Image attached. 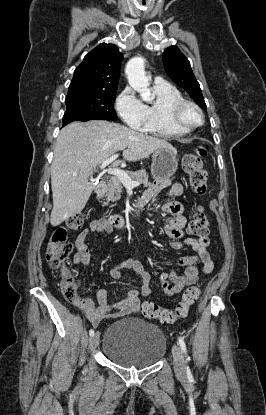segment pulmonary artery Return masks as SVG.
<instances>
[{
  "mask_svg": "<svg viewBox=\"0 0 266 415\" xmlns=\"http://www.w3.org/2000/svg\"><path fill=\"white\" fill-rule=\"evenodd\" d=\"M162 82H164V80L162 78H160V77L155 78V83H162Z\"/></svg>",
  "mask_w": 266,
  "mask_h": 415,
  "instance_id": "obj_1",
  "label": "pulmonary artery"
}]
</instances>
